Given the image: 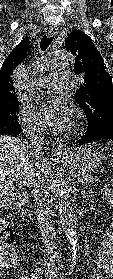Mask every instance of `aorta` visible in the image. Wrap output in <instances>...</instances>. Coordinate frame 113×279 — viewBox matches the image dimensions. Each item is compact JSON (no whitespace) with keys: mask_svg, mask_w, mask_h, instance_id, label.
Returning <instances> with one entry per match:
<instances>
[{"mask_svg":"<svg viewBox=\"0 0 113 279\" xmlns=\"http://www.w3.org/2000/svg\"><path fill=\"white\" fill-rule=\"evenodd\" d=\"M74 63L73 54L66 49H59L54 51L48 57V67H67ZM56 194L59 197V217L62 228L65 232L71 244L72 259L71 265H76L77 252H78V236H77V219L71 201L69 200V194L66 189L61 185L57 184Z\"/></svg>","mask_w":113,"mask_h":279,"instance_id":"aorta-1","label":"aorta"}]
</instances>
